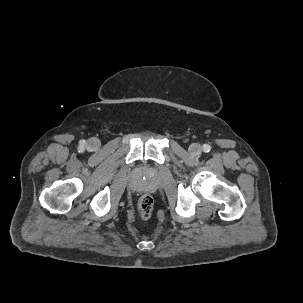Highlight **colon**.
<instances>
[{"instance_id": "colon-1", "label": "colon", "mask_w": 303, "mask_h": 303, "mask_svg": "<svg viewBox=\"0 0 303 303\" xmlns=\"http://www.w3.org/2000/svg\"><path fill=\"white\" fill-rule=\"evenodd\" d=\"M153 209V199L150 195H143L138 204L139 215L146 220L150 217Z\"/></svg>"}]
</instances>
